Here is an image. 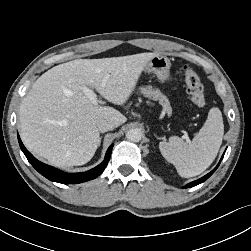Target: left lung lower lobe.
<instances>
[{"mask_svg": "<svg viewBox=\"0 0 251 251\" xmlns=\"http://www.w3.org/2000/svg\"><path fill=\"white\" fill-rule=\"evenodd\" d=\"M223 156H224V155H223ZM223 156H222V158H223ZM222 158H221V160H222ZM221 160H220V162H221ZM220 162L218 163V165H217L210 173H208L207 175L203 176L202 178H200V179H198V180H196V181H193V182L187 184V185L185 186V188L194 187V186H196V185H198V184H200V183L206 181V180L215 172V170L218 168Z\"/></svg>", "mask_w": 251, "mask_h": 251, "instance_id": "left-lung-lower-lobe-1", "label": "left lung lower lobe"}]
</instances>
